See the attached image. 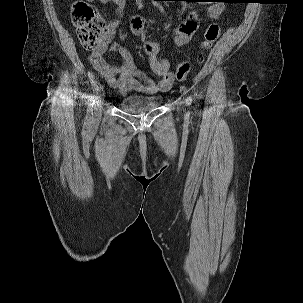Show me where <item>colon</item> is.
<instances>
[{
  "instance_id": "5ec220e1",
  "label": "colon",
  "mask_w": 303,
  "mask_h": 303,
  "mask_svg": "<svg viewBox=\"0 0 303 303\" xmlns=\"http://www.w3.org/2000/svg\"><path fill=\"white\" fill-rule=\"evenodd\" d=\"M72 21L77 36L83 47L93 49L100 45L106 33V26L97 10L89 3L79 0L72 7ZM220 36L218 24L211 23L205 32V40L201 44L203 50H209ZM190 71V64L182 62L176 69L178 80H183Z\"/></svg>"
}]
</instances>
